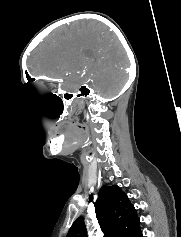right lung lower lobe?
<instances>
[{
	"mask_svg": "<svg viewBox=\"0 0 181 237\" xmlns=\"http://www.w3.org/2000/svg\"><path fill=\"white\" fill-rule=\"evenodd\" d=\"M137 237H143L142 233L140 232Z\"/></svg>",
	"mask_w": 181,
	"mask_h": 237,
	"instance_id": "98d812e1",
	"label": "right lung lower lobe"
}]
</instances>
